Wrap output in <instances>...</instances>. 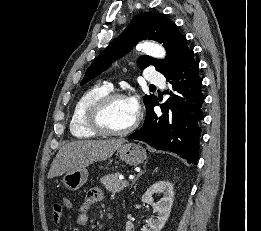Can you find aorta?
<instances>
[{
	"label": "aorta",
	"instance_id": "aorta-1",
	"mask_svg": "<svg viewBox=\"0 0 261 231\" xmlns=\"http://www.w3.org/2000/svg\"><path fill=\"white\" fill-rule=\"evenodd\" d=\"M139 50L158 59H163L166 56L165 49L161 45L155 43L144 42L139 46Z\"/></svg>",
	"mask_w": 261,
	"mask_h": 231
}]
</instances>
